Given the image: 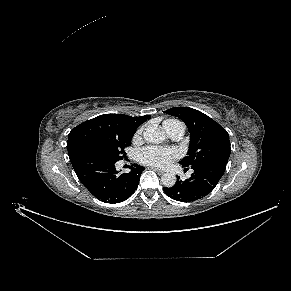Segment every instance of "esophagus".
I'll list each match as a JSON object with an SVG mask.
<instances>
[{"mask_svg": "<svg viewBox=\"0 0 291 291\" xmlns=\"http://www.w3.org/2000/svg\"><path fill=\"white\" fill-rule=\"evenodd\" d=\"M154 171H156L159 175L164 174V171L157 169V168H152Z\"/></svg>", "mask_w": 291, "mask_h": 291, "instance_id": "esophagus-1", "label": "esophagus"}]
</instances>
